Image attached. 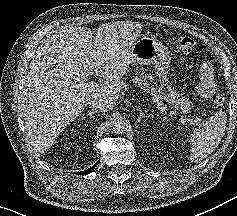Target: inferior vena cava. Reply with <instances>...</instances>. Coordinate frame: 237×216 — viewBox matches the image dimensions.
<instances>
[{"label":"inferior vena cava","mask_w":237,"mask_h":216,"mask_svg":"<svg viewBox=\"0 0 237 216\" xmlns=\"http://www.w3.org/2000/svg\"><path fill=\"white\" fill-rule=\"evenodd\" d=\"M86 105L92 109L106 113L113 109L115 102L108 99L105 93L100 92L96 97L90 98L86 102Z\"/></svg>","instance_id":"inferior-vena-cava-1"}]
</instances>
